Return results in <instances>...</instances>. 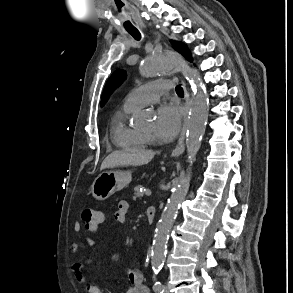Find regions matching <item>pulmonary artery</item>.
<instances>
[{"label": "pulmonary artery", "mask_w": 293, "mask_h": 293, "mask_svg": "<svg viewBox=\"0 0 293 293\" xmlns=\"http://www.w3.org/2000/svg\"><path fill=\"white\" fill-rule=\"evenodd\" d=\"M173 87L170 80L153 81L132 90L126 97L124 106L129 108H141L147 106L167 93Z\"/></svg>", "instance_id": "1"}]
</instances>
